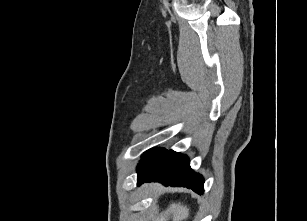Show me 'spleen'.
Listing matches in <instances>:
<instances>
[{"label":"spleen","instance_id":"3e777b00","mask_svg":"<svg viewBox=\"0 0 307 221\" xmlns=\"http://www.w3.org/2000/svg\"><path fill=\"white\" fill-rule=\"evenodd\" d=\"M167 214L172 216L173 221L186 220L189 217V208L180 202L172 203L167 210Z\"/></svg>","mask_w":307,"mask_h":221}]
</instances>
